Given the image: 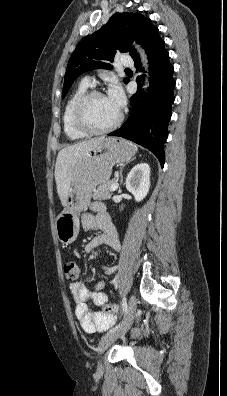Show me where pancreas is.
Returning a JSON list of instances; mask_svg holds the SVG:
<instances>
[{"label":"pancreas","mask_w":227,"mask_h":396,"mask_svg":"<svg viewBox=\"0 0 227 396\" xmlns=\"http://www.w3.org/2000/svg\"><path fill=\"white\" fill-rule=\"evenodd\" d=\"M116 182L115 179L110 180L98 186L93 191V197L99 200H108L111 198V186Z\"/></svg>","instance_id":"obj_1"}]
</instances>
